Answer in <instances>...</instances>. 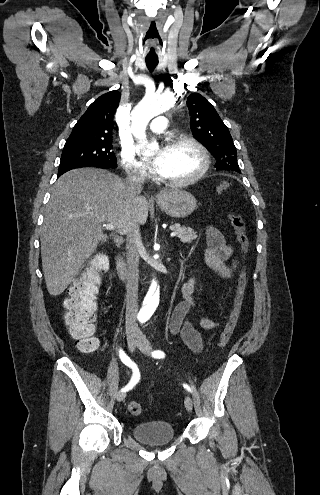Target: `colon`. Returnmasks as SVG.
Here are the masks:
<instances>
[{"mask_svg": "<svg viewBox=\"0 0 320 495\" xmlns=\"http://www.w3.org/2000/svg\"><path fill=\"white\" fill-rule=\"evenodd\" d=\"M229 188L230 182L222 181L217 185V192L223 195ZM229 219L234 228L240 251L243 255H246L250 242L244 218L239 213L231 212ZM108 268L109 262L105 255L99 254L95 256L88 268L69 288L68 297L64 302L66 325L70 334L78 341L80 349L85 352L94 351L98 345L97 339L93 336L97 310V293ZM246 284L247 274L245 268H242L238 277L234 306L219 337V346L221 348L229 343L234 333ZM128 409L134 416L140 415L142 411L141 404L135 401L129 403Z\"/></svg>", "mask_w": 320, "mask_h": 495, "instance_id": "colon-1", "label": "colon"}]
</instances>
